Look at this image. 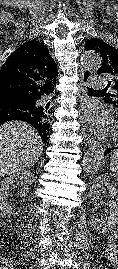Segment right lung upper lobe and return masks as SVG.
Masks as SVG:
<instances>
[{
	"label": "right lung upper lobe",
	"mask_w": 118,
	"mask_h": 269,
	"mask_svg": "<svg viewBox=\"0 0 118 269\" xmlns=\"http://www.w3.org/2000/svg\"><path fill=\"white\" fill-rule=\"evenodd\" d=\"M58 73L56 63L47 47L29 41L13 52L0 69V98L14 96L36 103L37 112L30 124L38 130L43 141L49 136V103L40 100L53 93Z\"/></svg>",
	"instance_id": "1"
}]
</instances>
